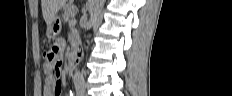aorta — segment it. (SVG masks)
I'll return each mask as SVG.
<instances>
[{
  "label": "aorta",
  "mask_w": 232,
  "mask_h": 96,
  "mask_svg": "<svg viewBox=\"0 0 232 96\" xmlns=\"http://www.w3.org/2000/svg\"><path fill=\"white\" fill-rule=\"evenodd\" d=\"M103 4H104V0H91L90 6H89L90 7V10H89L90 18L87 23V26L91 27L94 24L101 8L103 7Z\"/></svg>",
  "instance_id": "obj_1"
}]
</instances>
